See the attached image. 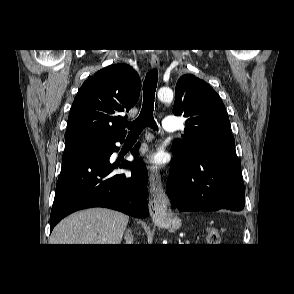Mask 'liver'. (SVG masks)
<instances>
[{
	"label": "liver",
	"mask_w": 294,
	"mask_h": 294,
	"mask_svg": "<svg viewBox=\"0 0 294 294\" xmlns=\"http://www.w3.org/2000/svg\"><path fill=\"white\" fill-rule=\"evenodd\" d=\"M128 221L127 215L110 209L79 211L54 228L50 244H120Z\"/></svg>",
	"instance_id": "1"
}]
</instances>
